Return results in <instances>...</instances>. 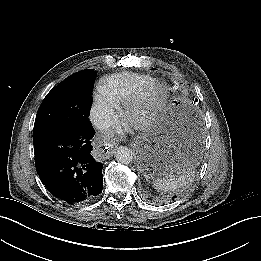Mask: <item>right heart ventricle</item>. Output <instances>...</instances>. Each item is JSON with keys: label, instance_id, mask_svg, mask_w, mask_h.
Segmentation results:
<instances>
[{"label": "right heart ventricle", "instance_id": "e07e8e85", "mask_svg": "<svg viewBox=\"0 0 261 261\" xmlns=\"http://www.w3.org/2000/svg\"><path fill=\"white\" fill-rule=\"evenodd\" d=\"M135 79L127 75H117L108 79L104 88L114 102L121 101L132 90Z\"/></svg>", "mask_w": 261, "mask_h": 261}]
</instances>
